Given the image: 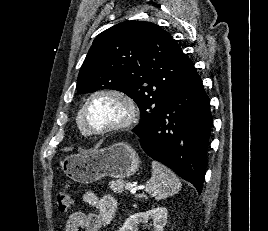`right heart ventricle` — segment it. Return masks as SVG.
Listing matches in <instances>:
<instances>
[{"mask_svg": "<svg viewBox=\"0 0 268 231\" xmlns=\"http://www.w3.org/2000/svg\"><path fill=\"white\" fill-rule=\"evenodd\" d=\"M76 122H77V126H78L79 130H80L83 134H86L85 127H84V125H83V123H82L81 111H79L78 114H77Z\"/></svg>", "mask_w": 268, "mask_h": 231, "instance_id": "right-heart-ventricle-1", "label": "right heart ventricle"}]
</instances>
